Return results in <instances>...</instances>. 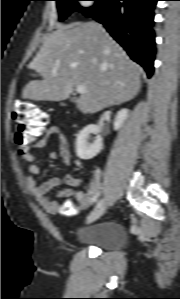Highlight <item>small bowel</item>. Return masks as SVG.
Returning <instances> with one entry per match:
<instances>
[{"label":"small bowel","mask_w":180,"mask_h":299,"mask_svg":"<svg viewBox=\"0 0 180 299\" xmlns=\"http://www.w3.org/2000/svg\"><path fill=\"white\" fill-rule=\"evenodd\" d=\"M52 135H57L59 137V147L57 151L49 152L48 158L52 160L60 159L64 164H70L71 153L69 150L68 139L59 126L51 125L47 127L42 136L33 142L31 149H41L45 147L47 144V139ZM20 154L24 160L30 162L28 168L29 175L26 178V184L29 191L46 212L56 213L58 211V205L52 202L47 197V194L53 189L59 187L61 185L62 179L59 176H53L44 181L42 184H37L34 176L40 172V167L35 162L38 158L28 152H21ZM65 182L67 187L60 192V195L65 198L75 197L80 207H86L93 203L97 198V193L100 186V172L96 171L94 173V177L90 182L89 187L85 191L75 192L74 188L80 185V179L74 175H67L65 177Z\"/></svg>","instance_id":"obj_1"}]
</instances>
